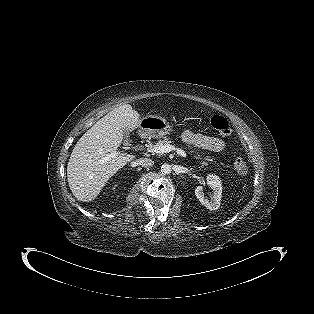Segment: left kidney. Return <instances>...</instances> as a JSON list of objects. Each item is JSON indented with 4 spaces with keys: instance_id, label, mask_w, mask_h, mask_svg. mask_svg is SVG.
<instances>
[{
    "instance_id": "left-kidney-1",
    "label": "left kidney",
    "mask_w": 314,
    "mask_h": 314,
    "mask_svg": "<svg viewBox=\"0 0 314 314\" xmlns=\"http://www.w3.org/2000/svg\"><path fill=\"white\" fill-rule=\"evenodd\" d=\"M207 184L212 189L210 200L205 198L203 193V186H197L195 189V195L202 205L209 210H217L220 207L221 195H222V183L218 176L209 174L207 176Z\"/></svg>"
}]
</instances>
